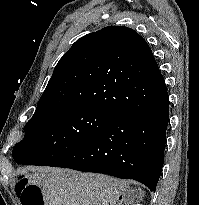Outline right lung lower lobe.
Here are the masks:
<instances>
[{
	"instance_id": "right-lung-lower-lobe-1",
	"label": "right lung lower lobe",
	"mask_w": 199,
	"mask_h": 205,
	"mask_svg": "<svg viewBox=\"0 0 199 205\" xmlns=\"http://www.w3.org/2000/svg\"><path fill=\"white\" fill-rule=\"evenodd\" d=\"M136 89L145 92L141 99L116 114L91 141L50 166L133 179L155 191L163 166L169 95L162 75Z\"/></svg>"
}]
</instances>
